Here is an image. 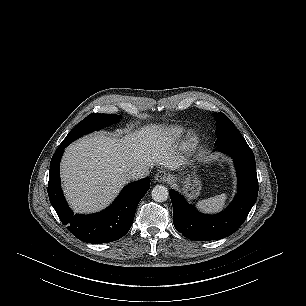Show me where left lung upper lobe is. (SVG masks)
Wrapping results in <instances>:
<instances>
[{"instance_id":"5c2ea615","label":"left lung upper lobe","mask_w":306,"mask_h":306,"mask_svg":"<svg viewBox=\"0 0 306 306\" xmlns=\"http://www.w3.org/2000/svg\"><path fill=\"white\" fill-rule=\"evenodd\" d=\"M215 120L217 124L215 145L246 142L238 129L223 113H215Z\"/></svg>"}]
</instances>
